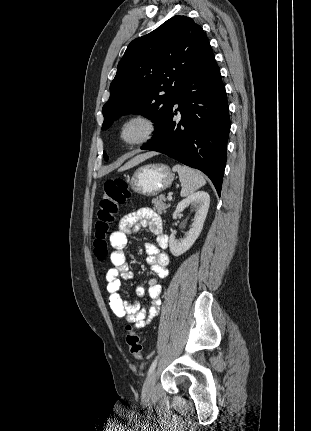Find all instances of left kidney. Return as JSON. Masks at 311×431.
<instances>
[{"label":"left kidney","mask_w":311,"mask_h":431,"mask_svg":"<svg viewBox=\"0 0 311 431\" xmlns=\"http://www.w3.org/2000/svg\"><path fill=\"white\" fill-rule=\"evenodd\" d=\"M210 204V196L207 192H196L192 196H188L186 200L179 202L175 212H173V219H177L181 212H184L188 206H191L192 210H195V217L193 223L185 233L183 239H176L175 235H170L169 247L172 255H182L185 253L191 245H193L195 239L200 235L204 221L207 216L208 208Z\"/></svg>","instance_id":"5707ae66"}]
</instances>
